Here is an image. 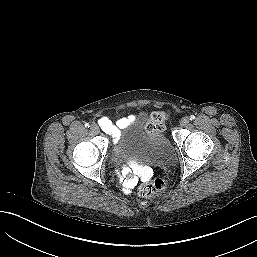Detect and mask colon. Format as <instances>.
I'll use <instances>...</instances> for the list:
<instances>
[{
	"instance_id": "obj_1",
	"label": "colon",
	"mask_w": 257,
	"mask_h": 257,
	"mask_svg": "<svg viewBox=\"0 0 257 257\" xmlns=\"http://www.w3.org/2000/svg\"><path fill=\"white\" fill-rule=\"evenodd\" d=\"M169 114L163 111L153 112L148 121V127L151 131H162L168 120ZM167 188L166 180L157 178L142 183L138 189L141 197H148L156 193L164 192Z\"/></svg>"
}]
</instances>
